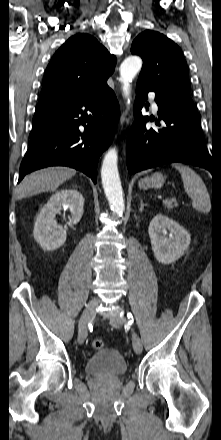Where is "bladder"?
<instances>
[{
  "label": "bladder",
  "mask_w": 221,
  "mask_h": 440,
  "mask_svg": "<svg viewBox=\"0 0 221 440\" xmlns=\"http://www.w3.org/2000/svg\"><path fill=\"white\" fill-rule=\"evenodd\" d=\"M88 375L96 377H116L126 373L124 357L116 349H103L92 355L85 363Z\"/></svg>",
  "instance_id": "31cf9c89"
}]
</instances>
